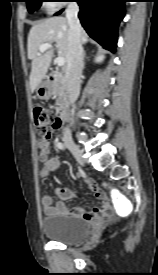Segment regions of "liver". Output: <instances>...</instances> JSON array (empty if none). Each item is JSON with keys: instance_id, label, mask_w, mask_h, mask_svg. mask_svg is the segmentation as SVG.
<instances>
[{"instance_id": "1", "label": "liver", "mask_w": 158, "mask_h": 275, "mask_svg": "<svg viewBox=\"0 0 158 275\" xmlns=\"http://www.w3.org/2000/svg\"><path fill=\"white\" fill-rule=\"evenodd\" d=\"M68 21L64 17H52L42 20L32 26L28 35V58L32 61L30 74V88L33 92L47 74L53 57V50H46L39 54V47L43 44H53L59 57L67 61L68 50ZM81 43L88 41L87 33L82 29Z\"/></svg>"}]
</instances>
